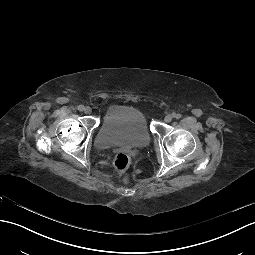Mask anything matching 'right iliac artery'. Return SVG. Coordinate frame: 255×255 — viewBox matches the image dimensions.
Returning a JSON list of instances; mask_svg holds the SVG:
<instances>
[{
  "label": "right iliac artery",
  "instance_id": "82829eb1",
  "mask_svg": "<svg viewBox=\"0 0 255 255\" xmlns=\"http://www.w3.org/2000/svg\"><path fill=\"white\" fill-rule=\"evenodd\" d=\"M79 111H83L84 110V106L83 105H79L77 108Z\"/></svg>",
  "mask_w": 255,
  "mask_h": 255
}]
</instances>
